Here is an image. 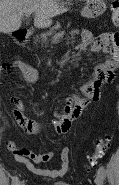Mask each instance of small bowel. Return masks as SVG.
Instances as JSON below:
<instances>
[{
    "mask_svg": "<svg viewBox=\"0 0 119 185\" xmlns=\"http://www.w3.org/2000/svg\"><path fill=\"white\" fill-rule=\"evenodd\" d=\"M76 48L78 51L89 48L92 52H102L106 59L95 67L92 79L80 87L82 96L74 92L71 93L62 109L56 113L49 123L28 118L23 103L17 97L11 98L13 114L26 133L41 134L45 131L46 126L50 124L57 135L56 148L44 154L17 148L12 141H8V147L13 152L16 160L34 175L44 180H55L70 172V148L67 145L62 146V144L67 141L71 123L93 102L99 100L102 85L114 79V71L119 65V34L117 32H105L96 35L90 30H84L81 34V43ZM11 68L19 69L27 83L34 84L40 79L39 71L22 60L16 59L12 63L2 66L5 72H9ZM97 80H99L98 84L95 85L94 83ZM56 154L60 155V162L54 169L37 167L38 164L49 162Z\"/></svg>",
    "mask_w": 119,
    "mask_h": 185,
    "instance_id": "1",
    "label": "small bowel"
}]
</instances>
